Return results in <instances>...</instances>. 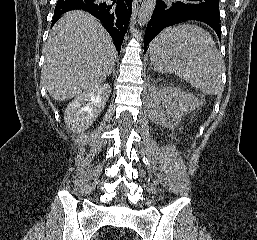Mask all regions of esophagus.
I'll use <instances>...</instances> for the list:
<instances>
[{
    "label": "esophagus",
    "instance_id": "obj_1",
    "mask_svg": "<svg viewBox=\"0 0 257 240\" xmlns=\"http://www.w3.org/2000/svg\"><path fill=\"white\" fill-rule=\"evenodd\" d=\"M134 1V3H138V2H140L141 0H133Z\"/></svg>",
    "mask_w": 257,
    "mask_h": 240
}]
</instances>
